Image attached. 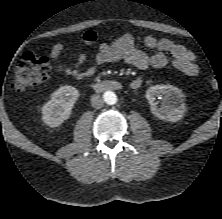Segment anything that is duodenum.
Returning a JSON list of instances; mask_svg holds the SVG:
<instances>
[{"label":"duodenum","mask_w":222,"mask_h":219,"mask_svg":"<svg viewBox=\"0 0 222 219\" xmlns=\"http://www.w3.org/2000/svg\"><path fill=\"white\" fill-rule=\"evenodd\" d=\"M141 85V82H133L131 84L132 89H138ZM94 90L105 91V90H118L121 89L122 84L115 80H107L102 82H95L91 85Z\"/></svg>","instance_id":"duodenum-1"}]
</instances>
